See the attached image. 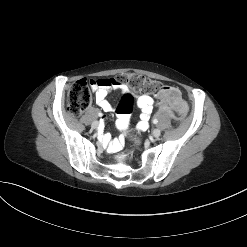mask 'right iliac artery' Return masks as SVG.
<instances>
[{"mask_svg": "<svg viewBox=\"0 0 247 247\" xmlns=\"http://www.w3.org/2000/svg\"><path fill=\"white\" fill-rule=\"evenodd\" d=\"M99 116H102V113H99Z\"/></svg>", "mask_w": 247, "mask_h": 247, "instance_id": "1", "label": "right iliac artery"}]
</instances>
